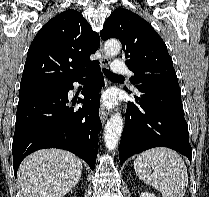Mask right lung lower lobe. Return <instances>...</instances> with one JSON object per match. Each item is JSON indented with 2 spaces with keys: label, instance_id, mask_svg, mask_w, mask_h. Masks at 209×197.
<instances>
[{
  "label": "right lung lower lobe",
  "instance_id": "right-lung-lower-lobe-1",
  "mask_svg": "<svg viewBox=\"0 0 209 197\" xmlns=\"http://www.w3.org/2000/svg\"><path fill=\"white\" fill-rule=\"evenodd\" d=\"M89 75L82 91L80 108H69L68 92L74 81ZM104 79L96 63L60 89L19 100L12 153L14 174L22 160L43 148L68 150L82 158L94 170L98 153L97 136L102 128L99 117L100 89Z\"/></svg>",
  "mask_w": 209,
  "mask_h": 197
}]
</instances>
